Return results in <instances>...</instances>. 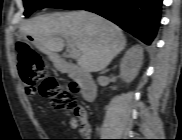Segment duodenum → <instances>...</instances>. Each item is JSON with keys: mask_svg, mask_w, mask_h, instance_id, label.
<instances>
[{"mask_svg": "<svg viewBox=\"0 0 182 140\" xmlns=\"http://www.w3.org/2000/svg\"><path fill=\"white\" fill-rule=\"evenodd\" d=\"M55 64L57 70L68 73L71 77L81 83L82 97L86 102H91L95 99L97 88L91 76L77 68L66 56L61 57Z\"/></svg>", "mask_w": 182, "mask_h": 140, "instance_id": "obj_1", "label": "duodenum"}]
</instances>
